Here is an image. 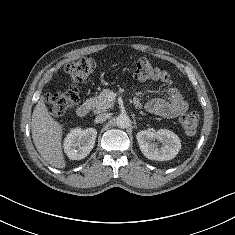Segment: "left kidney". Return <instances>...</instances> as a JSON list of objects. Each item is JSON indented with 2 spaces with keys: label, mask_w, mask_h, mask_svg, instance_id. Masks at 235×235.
<instances>
[{
  "label": "left kidney",
  "mask_w": 235,
  "mask_h": 235,
  "mask_svg": "<svg viewBox=\"0 0 235 235\" xmlns=\"http://www.w3.org/2000/svg\"><path fill=\"white\" fill-rule=\"evenodd\" d=\"M136 139L141 152L150 160H171L181 149L179 137L167 129H160L157 132L143 130L137 133ZM155 139L161 143L160 147L156 142H153Z\"/></svg>",
  "instance_id": "obj_1"
}]
</instances>
